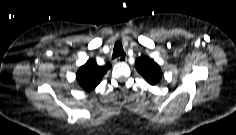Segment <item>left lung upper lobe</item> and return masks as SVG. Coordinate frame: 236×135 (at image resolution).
Here are the masks:
<instances>
[{
    "label": "left lung upper lobe",
    "mask_w": 236,
    "mask_h": 135,
    "mask_svg": "<svg viewBox=\"0 0 236 135\" xmlns=\"http://www.w3.org/2000/svg\"><path fill=\"white\" fill-rule=\"evenodd\" d=\"M135 67L137 71L151 84H157L162 77V71L159 65L147 56H141L136 60Z\"/></svg>",
    "instance_id": "1"
}]
</instances>
